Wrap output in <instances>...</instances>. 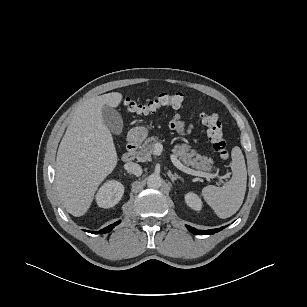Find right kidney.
<instances>
[{
	"mask_svg": "<svg viewBox=\"0 0 307 307\" xmlns=\"http://www.w3.org/2000/svg\"><path fill=\"white\" fill-rule=\"evenodd\" d=\"M124 194V186L121 182L110 180L101 186L96 194V202L99 207L111 208L115 206Z\"/></svg>",
	"mask_w": 307,
	"mask_h": 307,
	"instance_id": "obj_1",
	"label": "right kidney"
}]
</instances>
